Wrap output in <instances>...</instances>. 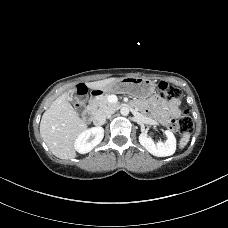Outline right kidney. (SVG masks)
I'll list each match as a JSON object with an SVG mask.
<instances>
[{"label": "right kidney", "instance_id": "ca27d5eb", "mask_svg": "<svg viewBox=\"0 0 228 228\" xmlns=\"http://www.w3.org/2000/svg\"><path fill=\"white\" fill-rule=\"evenodd\" d=\"M104 137L102 127H93L84 130L75 140V150L80 154H86L95 148Z\"/></svg>", "mask_w": 228, "mask_h": 228}]
</instances>
